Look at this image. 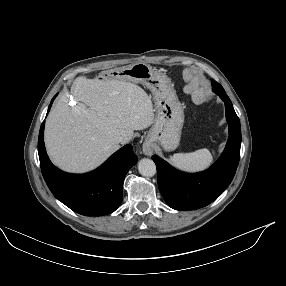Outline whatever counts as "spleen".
<instances>
[{"label":"spleen","mask_w":286,"mask_h":286,"mask_svg":"<svg viewBox=\"0 0 286 286\" xmlns=\"http://www.w3.org/2000/svg\"><path fill=\"white\" fill-rule=\"evenodd\" d=\"M212 160V154L206 148L191 153H176L169 158L172 165L185 171L202 170L208 167Z\"/></svg>","instance_id":"3e777b00"}]
</instances>
